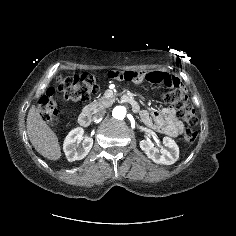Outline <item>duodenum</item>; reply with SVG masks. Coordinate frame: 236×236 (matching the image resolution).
Masks as SVG:
<instances>
[{
    "mask_svg": "<svg viewBox=\"0 0 236 236\" xmlns=\"http://www.w3.org/2000/svg\"><path fill=\"white\" fill-rule=\"evenodd\" d=\"M121 99L128 103L132 109L135 111V112H139L140 110V107H139V104L137 102V100L130 96V95H123L121 96ZM79 123L81 126H89L90 123H91V115L88 111H83L80 115H79V119H78Z\"/></svg>",
    "mask_w": 236,
    "mask_h": 236,
    "instance_id": "410a0bca",
    "label": "duodenum"
}]
</instances>
